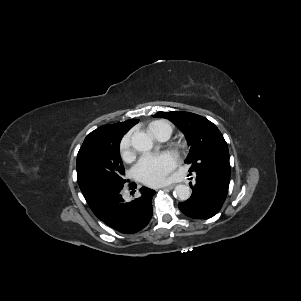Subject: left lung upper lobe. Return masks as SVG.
Listing matches in <instances>:
<instances>
[{"label": "left lung upper lobe", "mask_w": 301, "mask_h": 301, "mask_svg": "<svg viewBox=\"0 0 301 301\" xmlns=\"http://www.w3.org/2000/svg\"><path fill=\"white\" fill-rule=\"evenodd\" d=\"M154 117L167 118L185 134L190 152L185 163L190 172L209 171L230 177L229 151L218 128L205 117L190 112H158Z\"/></svg>", "instance_id": "left-lung-upper-lobe-1"}]
</instances>
